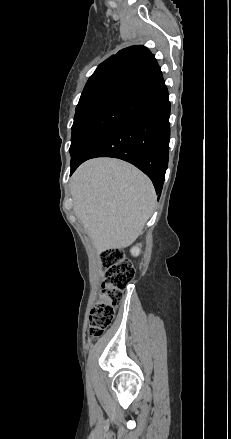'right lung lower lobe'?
I'll use <instances>...</instances> for the list:
<instances>
[{
    "label": "right lung lower lobe",
    "mask_w": 231,
    "mask_h": 439,
    "mask_svg": "<svg viewBox=\"0 0 231 439\" xmlns=\"http://www.w3.org/2000/svg\"><path fill=\"white\" fill-rule=\"evenodd\" d=\"M141 113L126 118L98 135L82 156L71 162V173L94 157H114L132 163L153 182L156 193L163 187L169 158L170 102L163 79L135 94Z\"/></svg>",
    "instance_id": "obj_1"
}]
</instances>
